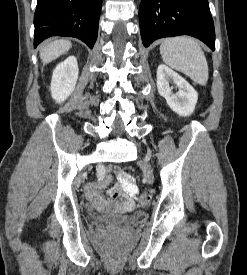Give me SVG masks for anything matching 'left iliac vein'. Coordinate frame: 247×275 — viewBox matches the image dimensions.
<instances>
[{"mask_svg":"<svg viewBox=\"0 0 247 275\" xmlns=\"http://www.w3.org/2000/svg\"><path fill=\"white\" fill-rule=\"evenodd\" d=\"M140 166L143 168L146 174H151L152 170L147 160L140 162Z\"/></svg>","mask_w":247,"mask_h":275,"instance_id":"left-iliac-vein-1","label":"left iliac vein"}]
</instances>
